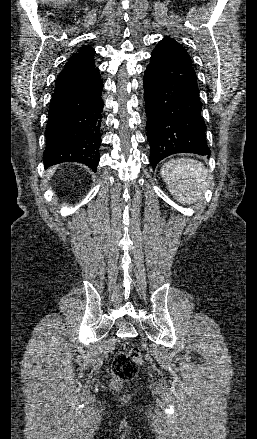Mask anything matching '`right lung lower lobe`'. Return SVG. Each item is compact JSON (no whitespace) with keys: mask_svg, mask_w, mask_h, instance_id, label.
<instances>
[{"mask_svg":"<svg viewBox=\"0 0 257 439\" xmlns=\"http://www.w3.org/2000/svg\"><path fill=\"white\" fill-rule=\"evenodd\" d=\"M99 69L57 85L46 126L45 168L79 162L96 171L100 155L104 102Z\"/></svg>","mask_w":257,"mask_h":439,"instance_id":"98d812e1","label":"right lung lower lobe"}]
</instances>
